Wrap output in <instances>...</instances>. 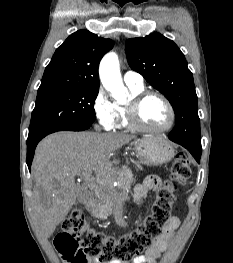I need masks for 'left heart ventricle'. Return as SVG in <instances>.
<instances>
[{
    "instance_id": "obj_1",
    "label": "left heart ventricle",
    "mask_w": 233,
    "mask_h": 263,
    "mask_svg": "<svg viewBox=\"0 0 233 263\" xmlns=\"http://www.w3.org/2000/svg\"><path fill=\"white\" fill-rule=\"evenodd\" d=\"M139 115L142 123L152 128L163 127L169 121L167 107L164 102L156 96H150L144 100Z\"/></svg>"
}]
</instances>
